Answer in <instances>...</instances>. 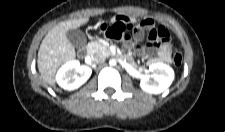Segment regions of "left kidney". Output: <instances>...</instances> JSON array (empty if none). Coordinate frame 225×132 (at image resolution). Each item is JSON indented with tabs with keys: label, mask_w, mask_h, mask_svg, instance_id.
Here are the masks:
<instances>
[{
	"label": "left kidney",
	"mask_w": 225,
	"mask_h": 132,
	"mask_svg": "<svg viewBox=\"0 0 225 132\" xmlns=\"http://www.w3.org/2000/svg\"><path fill=\"white\" fill-rule=\"evenodd\" d=\"M150 76H145L140 82V87L150 94H160L166 90L174 80L173 69L164 63H154L149 66Z\"/></svg>",
	"instance_id": "left-kidney-1"
}]
</instances>
